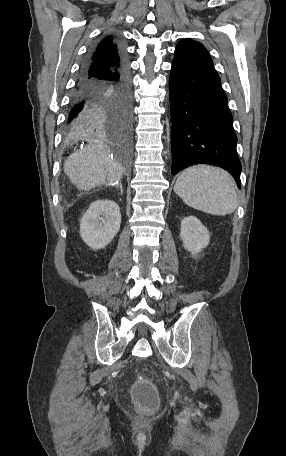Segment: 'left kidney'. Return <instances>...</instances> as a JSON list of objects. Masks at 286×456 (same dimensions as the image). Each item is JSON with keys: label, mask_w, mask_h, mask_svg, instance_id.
<instances>
[{"label": "left kidney", "mask_w": 286, "mask_h": 456, "mask_svg": "<svg viewBox=\"0 0 286 456\" xmlns=\"http://www.w3.org/2000/svg\"><path fill=\"white\" fill-rule=\"evenodd\" d=\"M180 237L184 248L194 256L208 246L210 234L207 228L194 216L186 217L181 222Z\"/></svg>", "instance_id": "obj_1"}]
</instances>
